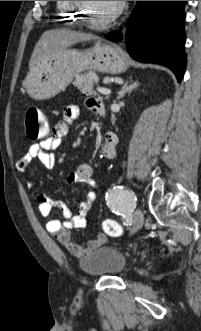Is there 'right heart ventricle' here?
I'll use <instances>...</instances> for the list:
<instances>
[{"label": "right heart ventricle", "instance_id": "right-heart-ventricle-1", "mask_svg": "<svg viewBox=\"0 0 201 331\" xmlns=\"http://www.w3.org/2000/svg\"><path fill=\"white\" fill-rule=\"evenodd\" d=\"M73 4V1H56L59 17L68 26H74L77 23L78 13Z\"/></svg>", "mask_w": 201, "mask_h": 331}]
</instances>
